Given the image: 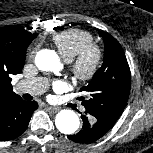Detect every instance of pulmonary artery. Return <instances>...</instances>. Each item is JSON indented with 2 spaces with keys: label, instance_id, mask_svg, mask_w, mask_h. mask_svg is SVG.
Here are the masks:
<instances>
[{
  "label": "pulmonary artery",
  "instance_id": "pulmonary-artery-1",
  "mask_svg": "<svg viewBox=\"0 0 153 153\" xmlns=\"http://www.w3.org/2000/svg\"><path fill=\"white\" fill-rule=\"evenodd\" d=\"M47 80L44 78H31L20 81L16 85V89L19 92H25L29 94H42L47 88Z\"/></svg>",
  "mask_w": 153,
  "mask_h": 153
}]
</instances>
